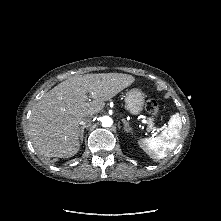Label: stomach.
<instances>
[{
    "mask_svg": "<svg viewBox=\"0 0 221 221\" xmlns=\"http://www.w3.org/2000/svg\"><path fill=\"white\" fill-rule=\"evenodd\" d=\"M144 103L145 97L141 90L134 88L126 93L125 107L132 115L140 114Z\"/></svg>",
    "mask_w": 221,
    "mask_h": 221,
    "instance_id": "obj_1",
    "label": "stomach"
}]
</instances>
